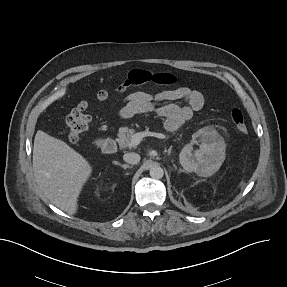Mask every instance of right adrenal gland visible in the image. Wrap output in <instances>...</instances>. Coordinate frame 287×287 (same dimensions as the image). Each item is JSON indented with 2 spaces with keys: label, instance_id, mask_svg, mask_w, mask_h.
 Returning a JSON list of instances; mask_svg holds the SVG:
<instances>
[{
  "label": "right adrenal gland",
  "instance_id": "1",
  "mask_svg": "<svg viewBox=\"0 0 287 287\" xmlns=\"http://www.w3.org/2000/svg\"><path fill=\"white\" fill-rule=\"evenodd\" d=\"M116 164L119 165V166H121L123 169L130 168V166L127 165V164H121V163H118V162H116Z\"/></svg>",
  "mask_w": 287,
  "mask_h": 287
}]
</instances>
